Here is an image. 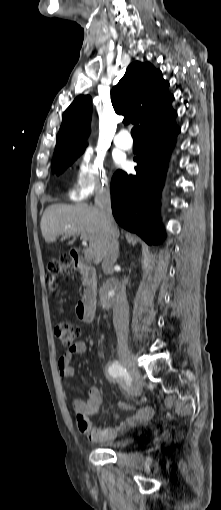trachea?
<instances>
[{
  "label": "trachea",
  "instance_id": "3493384b",
  "mask_svg": "<svg viewBox=\"0 0 221 510\" xmlns=\"http://www.w3.org/2000/svg\"><path fill=\"white\" fill-rule=\"evenodd\" d=\"M131 135L134 140H140V134H139V126H135L131 130Z\"/></svg>",
  "mask_w": 221,
  "mask_h": 510
}]
</instances>
